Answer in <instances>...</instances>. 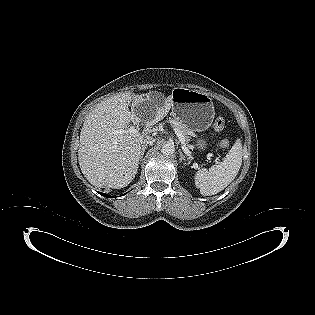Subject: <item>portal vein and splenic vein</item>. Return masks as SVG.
<instances>
[{
  "instance_id": "18ae733b",
  "label": "portal vein and splenic vein",
  "mask_w": 315,
  "mask_h": 315,
  "mask_svg": "<svg viewBox=\"0 0 315 315\" xmlns=\"http://www.w3.org/2000/svg\"><path fill=\"white\" fill-rule=\"evenodd\" d=\"M128 131H129L130 133H137V132H138L137 129H136L135 127H133V126L130 127V128L128 129ZM174 131H175L176 135L178 136L179 140L181 141L183 151L185 152V154L189 155V154H190V151H189L188 147L186 146V143H185V141H186L185 136H184L183 133H182L179 129H177V128H174ZM116 133L121 134V133H123V131H122V130H119V131H116ZM210 155H211V154H210Z\"/></svg>"
}]
</instances>
